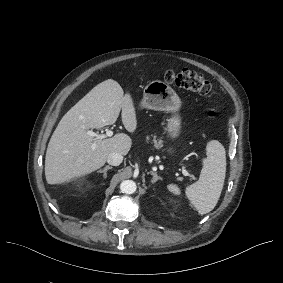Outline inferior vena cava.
<instances>
[{"label": "inferior vena cava", "instance_id": "obj_1", "mask_svg": "<svg viewBox=\"0 0 283 283\" xmlns=\"http://www.w3.org/2000/svg\"><path fill=\"white\" fill-rule=\"evenodd\" d=\"M122 161H123V156L120 153L113 152V153H110L107 157V162L113 166L120 165Z\"/></svg>", "mask_w": 283, "mask_h": 283}]
</instances>
